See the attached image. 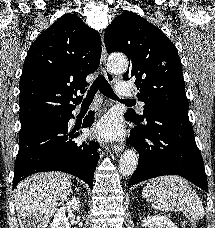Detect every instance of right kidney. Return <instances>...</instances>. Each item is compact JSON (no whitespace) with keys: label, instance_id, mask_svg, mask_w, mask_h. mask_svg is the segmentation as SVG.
Instances as JSON below:
<instances>
[{"label":"right kidney","instance_id":"1","mask_svg":"<svg viewBox=\"0 0 215 228\" xmlns=\"http://www.w3.org/2000/svg\"><path fill=\"white\" fill-rule=\"evenodd\" d=\"M80 208H82V204L79 198H75L74 196V198L68 200L65 206H62V208H59V210H57L50 224V228H71V224H69L66 212H72V210L79 212Z\"/></svg>","mask_w":215,"mask_h":228}]
</instances>
